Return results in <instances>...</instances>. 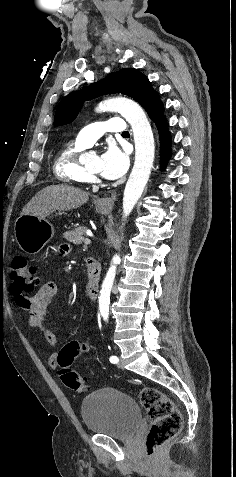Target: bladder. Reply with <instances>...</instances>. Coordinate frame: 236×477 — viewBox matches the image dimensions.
I'll list each match as a JSON object with an SVG mask.
<instances>
[{"label":"bladder","mask_w":236,"mask_h":477,"mask_svg":"<svg viewBox=\"0 0 236 477\" xmlns=\"http://www.w3.org/2000/svg\"><path fill=\"white\" fill-rule=\"evenodd\" d=\"M80 412L88 432L121 440L133 438L142 419L136 401L112 387L99 388L89 394Z\"/></svg>","instance_id":"1"}]
</instances>
